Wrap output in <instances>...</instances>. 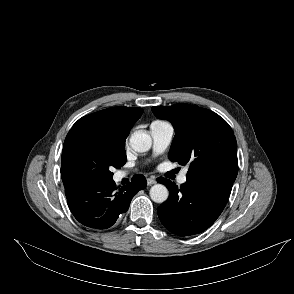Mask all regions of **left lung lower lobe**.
Wrapping results in <instances>:
<instances>
[{
  "instance_id": "0a47b994",
  "label": "left lung lower lobe",
  "mask_w": 294,
  "mask_h": 294,
  "mask_svg": "<svg viewBox=\"0 0 294 294\" xmlns=\"http://www.w3.org/2000/svg\"><path fill=\"white\" fill-rule=\"evenodd\" d=\"M236 176L230 171L187 178L178 188L158 178L169 190V198L158 208L161 223L172 233L189 236L209 228L223 211Z\"/></svg>"
}]
</instances>
